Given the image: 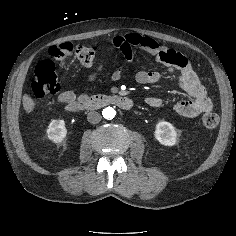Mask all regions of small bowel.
<instances>
[{
	"label": "small bowel",
	"instance_id": "1",
	"mask_svg": "<svg viewBox=\"0 0 236 236\" xmlns=\"http://www.w3.org/2000/svg\"><path fill=\"white\" fill-rule=\"evenodd\" d=\"M111 45L127 61H132L133 59V48L139 47L153 55L155 61L166 66L170 73H178L179 86L191 97L189 100H182L174 105V110L179 115L194 118L212 109V103L206 95L205 88L192 69L188 59L181 53L159 45L157 41L150 37L136 33L116 36L112 39ZM103 68L102 63L98 64L95 70L88 75V81H94ZM121 76L122 68H119L112 74L111 79L117 81ZM135 79L139 84H153L159 81L160 73L156 70H140L136 73ZM84 98H86L84 94L77 95L72 90H66L58 95V102L64 106L65 110L76 112L78 104ZM145 101L147 105L154 108L162 105V100L158 97L150 96Z\"/></svg>",
	"mask_w": 236,
	"mask_h": 236
}]
</instances>
